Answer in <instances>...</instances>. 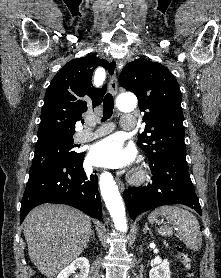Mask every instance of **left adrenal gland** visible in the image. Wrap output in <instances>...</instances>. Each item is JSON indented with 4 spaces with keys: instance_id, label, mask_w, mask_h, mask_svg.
Listing matches in <instances>:
<instances>
[{
    "instance_id": "obj_1",
    "label": "left adrenal gland",
    "mask_w": 221,
    "mask_h": 278,
    "mask_svg": "<svg viewBox=\"0 0 221 278\" xmlns=\"http://www.w3.org/2000/svg\"><path fill=\"white\" fill-rule=\"evenodd\" d=\"M148 231H149V234L153 235L152 232H151V230L148 228L147 223H146V224H145V227H144V229H143V233L145 234V233H147Z\"/></svg>"
}]
</instances>
